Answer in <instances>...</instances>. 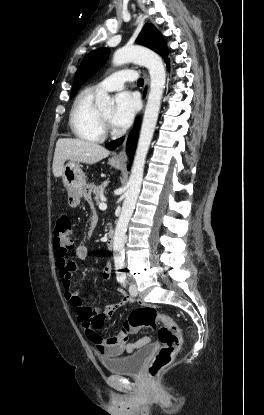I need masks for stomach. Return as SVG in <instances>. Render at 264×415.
Instances as JSON below:
<instances>
[{
    "instance_id": "obj_1",
    "label": "stomach",
    "mask_w": 264,
    "mask_h": 415,
    "mask_svg": "<svg viewBox=\"0 0 264 415\" xmlns=\"http://www.w3.org/2000/svg\"><path fill=\"white\" fill-rule=\"evenodd\" d=\"M109 164L116 169L122 168V164L113 159L109 160ZM62 180L68 192V204L72 208L80 204L83 196L89 197L94 187L86 182L85 174L77 162H68L64 166Z\"/></svg>"
}]
</instances>
